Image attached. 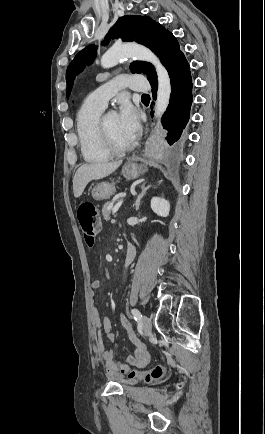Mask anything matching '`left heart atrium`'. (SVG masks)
<instances>
[{
	"label": "left heart atrium",
	"mask_w": 265,
	"mask_h": 434,
	"mask_svg": "<svg viewBox=\"0 0 265 434\" xmlns=\"http://www.w3.org/2000/svg\"><path fill=\"white\" fill-rule=\"evenodd\" d=\"M118 113V122L123 136L130 142H134L139 133V112L128 99L122 98Z\"/></svg>",
	"instance_id": "39dd6f15"
}]
</instances>
